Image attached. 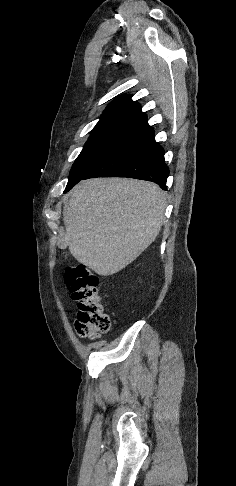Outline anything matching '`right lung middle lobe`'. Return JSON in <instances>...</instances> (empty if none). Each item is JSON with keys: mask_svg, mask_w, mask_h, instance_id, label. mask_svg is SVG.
<instances>
[{"mask_svg": "<svg viewBox=\"0 0 236 486\" xmlns=\"http://www.w3.org/2000/svg\"><path fill=\"white\" fill-rule=\"evenodd\" d=\"M139 130L140 126L137 125L112 126L93 130L72 166L64 193L130 141Z\"/></svg>", "mask_w": 236, "mask_h": 486, "instance_id": "dd1d6c3e", "label": "right lung middle lobe"}]
</instances>
